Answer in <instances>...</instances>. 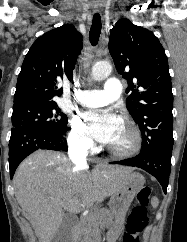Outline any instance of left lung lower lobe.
I'll list each match as a JSON object with an SVG mask.
<instances>
[{"mask_svg": "<svg viewBox=\"0 0 187 242\" xmlns=\"http://www.w3.org/2000/svg\"><path fill=\"white\" fill-rule=\"evenodd\" d=\"M172 147H164L153 151L140 152L133 158L111 162L141 168L153 175L162 185L166 193L171 170Z\"/></svg>", "mask_w": 187, "mask_h": 242, "instance_id": "0a47b994", "label": "left lung lower lobe"}]
</instances>
